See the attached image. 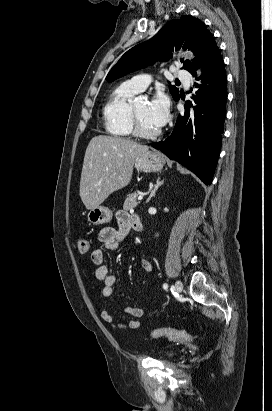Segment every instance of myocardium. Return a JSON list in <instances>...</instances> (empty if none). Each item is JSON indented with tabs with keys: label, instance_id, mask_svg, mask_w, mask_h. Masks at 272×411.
Returning <instances> with one entry per match:
<instances>
[{
	"label": "myocardium",
	"instance_id": "obj_1",
	"mask_svg": "<svg viewBox=\"0 0 272 411\" xmlns=\"http://www.w3.org/2000/svg\"><path fill=\"white\" fill-rule=\"evenodd\" d=\"M129 119H130L132 133L137 137L144 138V139H153V138L158 137L161 134L160 129H157L154 131H147L141 127L133 104H130V107H129Z\"/></svg>",
	"mask_w": 272,
	"mask_h": 411
}]
</instances>
